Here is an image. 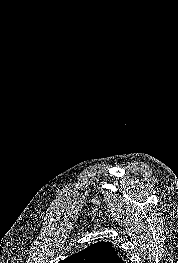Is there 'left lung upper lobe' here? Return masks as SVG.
Listing matches in <instances>:
<instances>
[{"mask_svg":"<svg viewBox=\"0 0 178 263\" xmlns=\"http://www.w3.org/2000/svg\"><path fill=\"white\" fill-rule=\"evenodd\" d=\"M116 257L118 254L112 243L97 242L59 263H111Z\"/></svg>","mask_w":178,"mask_h":263,"instance_id":"1","label":"left lung upper lobe"}]
</instances>
